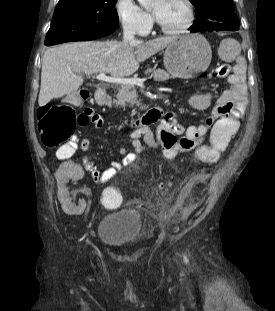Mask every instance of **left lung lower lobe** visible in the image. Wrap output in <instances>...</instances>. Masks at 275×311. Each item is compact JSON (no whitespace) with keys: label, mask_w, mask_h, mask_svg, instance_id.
I'll use <instances>...</instances> for the list:
<instances>
[{"label":"left lung lower lobe","mask_w":275,"mask_h":311,"mask_svg":"<svg viewBox=\"0 0 275 311\" xmlns=\"http://www.w3.org/2000/svg\"><path fill=\"white\" fill-rule=\"evenodd\" d=\"M206 31H219V30H206ZM191 32H199L191 28Z\"/></svg>","instance_id":"obj_1"}]
</instances>
